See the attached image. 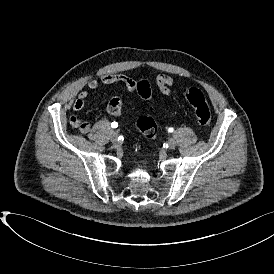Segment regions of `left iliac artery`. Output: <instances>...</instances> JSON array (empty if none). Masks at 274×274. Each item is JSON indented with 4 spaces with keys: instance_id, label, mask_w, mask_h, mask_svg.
Here are the masks:
<instances>
[{
    "instance_id": "left-iliac-artery-1",
    "label": "left iliac artery",
    "mask_w": 274,
    "mask_h": 274,
    "mask_svg": "<svg viewBox=\"0 0 274 274\" xmlns=\"http://www.w3.org/2000/svg\"><path fill=\"white\" fill-rule=\"evenodd\" d=\"M168 131L172 133V132L174 131V129H173L172 127H170V128L168 129Z\"/></svg>"
}]
</instances>
